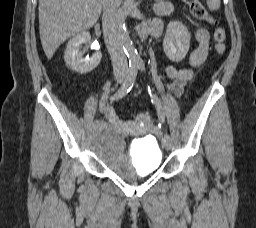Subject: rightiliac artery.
<instances>
[{
  "label": "right iliac artery",
  "instance_id": "1",
  "mask_svg": "<svg viewBox=\"0 0 256 228\" xmlns=\"http://www.w3.org/2000/svg\"><path fill=\"white\" fill-rule=\"evenodd\" d=\"M138 72V66L136 65H131L129 66V72L126 80L124 83L121 85V87L118 89V91L110 97V101H115L118 100L122 97H124L133 87L134 82L136 80ZM100 125L99 121L95 120L92 123L93 128H97Z\"/></svg>",
  "mask_w": 256,
  "mask_h": 228
}]
</instances>
